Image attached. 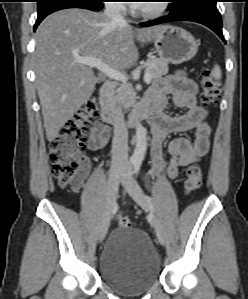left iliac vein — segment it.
Masks as SVG:
<instances>
[{
	"label": "left iliac vein",
	"instance_id": "1",
	"mask_svg": "<svg viewBox=\"0 0 248 299\" xmlns=\"http://www.w3.org/2000/svg\"><path fill=\"white\" fill-rule=\"evenodd\" d=\"M126 175L122 177V183L125 190L133 198V200L145 211L150 212V204L146 200L144 193L140 186L129 176L130 166H125ZM152 225L155 229L156 236L161 244H164L165 238L159 220L152 215Z\"/></svg>",
	"mask_w": 248,
	"mask_h": 299
}]
</instances>
